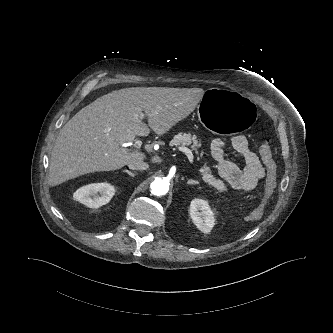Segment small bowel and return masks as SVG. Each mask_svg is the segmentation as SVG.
<instances>
[{"instance_id":"small-bowel-1","label":"small bowel","mask_w":333,"mask_h":333,"mask_svg":"<svg viewBox=\"0 0 333 333\" xmlns=\"http://www.w3.org/2000/svg\"><path fill=\"white\" fill-rule=\"evenodd\" d=\"M228 146L242 158V168L228 158L226 152ZM211 155L217 163L220 176L239 195H245L255 190L259 182L266 176V163L250 150L246 138L242 135H236L228 142L223 139H215L211 145Z\"/></svg>"}]
</instances>
